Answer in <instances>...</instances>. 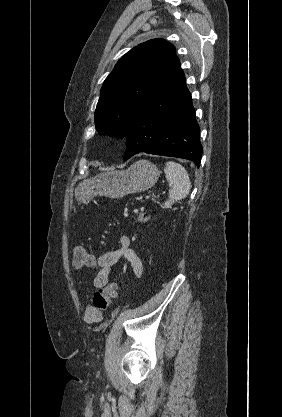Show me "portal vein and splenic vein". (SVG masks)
Here are the masks:
<instances>
[{
  "label": "portal vein and splenic vein",
  "mask_w": 282,
  "mask_h": 417,
  "mask_svg": "<svg viewBox=\"0 0 282 417\" xmlns=\"http://www.w3.org/2000/svg\"><path fill=\"white\" fill-rule=\"evenodd\" d=\"M149 196H150V197H153V196H154V193H153V192H150V193H148V194H144V195L141 197V200H142V201H147V200H148V198H149Z\"/></svg>",
  "instance_id": "18ae733b"
}]
</instances>
